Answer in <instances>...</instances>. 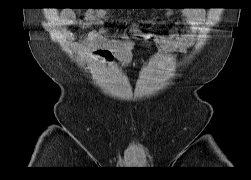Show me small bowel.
Returning a JSON list of instances; mask_svg holds the SVG:
<instances>
[{
  "label": "small bowel",
  "instance_id": "c3829d8e",
  "mask_svg": "<svg viewBox=\"0 0 251 180\" xmlns=\"http://www.w3.org/2000/svg\"><path fill=\"white\" fill-rule=\"evenodd\" d=\"M170 15V13H168ZM106 11L103 9L87 11L83 18L85 25H100ZM59 22L63 26H70L77 22L76 13L71 9L61 12ZM184 26L183 32H171L167 34L145 33L144 37L153 40L162 50L166 52L185 53L195 42L197 33L204 23V12L197 9H187L181 12V20ZM63 35L68 40H74L75 35L69 31H63ZM106 30H92L88 33L82 46L91 50L109 61L115 56L122 63L130 60L133 42L128 37L122 39H109Z\"/></svg>",
  "mask_w": 251,
  "mask_h": 180
}]
</instances>
